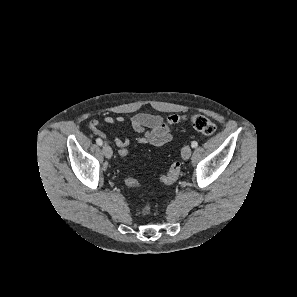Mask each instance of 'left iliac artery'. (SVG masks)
Masks as SVG:
<instances>
[{
  "mask_svg": "<svg viewBox=\"0 0 297 297\" xmlns=\"http://www.w3.org/2000/svg\"><path fill=\"white\" fill-rule=\"evenodd\" d=\"M197 146H198L197 141H193V142L191 143V147H192V148H196Z\"/></svg>",
  "mask_w": 297,
  "mask_h": 297,
  "instance_id": "1",
  "label": "left iliac artery"
}]
</instances>
